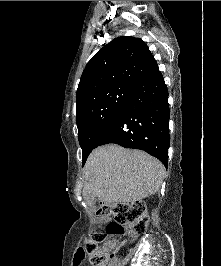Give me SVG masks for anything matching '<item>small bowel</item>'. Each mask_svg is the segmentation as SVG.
Listing matches in <instances>:
<instances>
[{
    "label": "small bowel",
    "mask_w": 221,
    "mask_h": 266,
    "mask_svg": "<svg viewBox=\"0 0 221 266\" xmlns=\"http://www.w3.org/2000/svg\"><path fill=\"white\" fill-rule=\"evenodd\" d=\"M102 221H107L108 217H103L101 219ZM77 251H85L86 247L85 246H77L76 247ZM73 266H83V261H84V252H73Z\"/></svg>",
    "instance_id": "1"
}]
</instances>
